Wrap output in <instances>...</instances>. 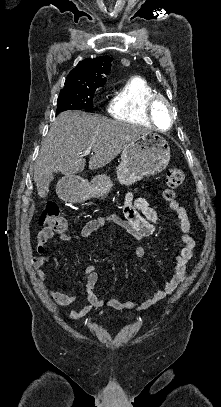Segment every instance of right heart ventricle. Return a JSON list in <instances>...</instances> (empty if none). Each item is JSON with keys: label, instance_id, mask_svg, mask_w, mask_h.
I'll list each match as a JSON object with an SVG mask.
<instances>
[{"label": "right heart ventricle", "instance_id": "1", "mask_svg": "<svg viewBox=\"0 0 221 407\" xmlns=\"http://www.w3.org/2000/svg\"><path fill=\"white\" fill-rule=\"evenodd\" d=\"M156 94L157 91L145 78L136 76L112 94L106 110L117 120L150 126L146 103Z\"/></svg>", "mask_w": 221, "mask_h": 407}]
</instances>
